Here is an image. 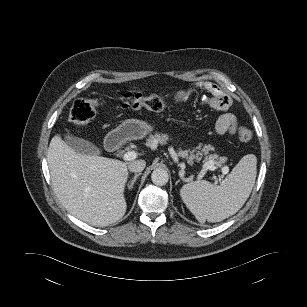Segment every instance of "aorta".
Wrapping results in <instances>:
<instances>
[{
	"label": "aorta",
	"instance_id": "762f6f07",
	"mask_svg": "<svg viewBox=\"0 0 307 307\" xmlns=\"http://www.w3.org/2000/svg\"><path fill=\"white\" fill-rule=\"evenodd\" d=\"M151 180L157 186L165 185L169 180L167 170L164 168H156L151 174Z\"/></svg>",
	"mask_w": 307,
	"mask_h": 307
}]
</instances>
